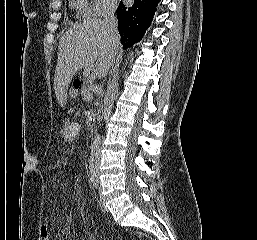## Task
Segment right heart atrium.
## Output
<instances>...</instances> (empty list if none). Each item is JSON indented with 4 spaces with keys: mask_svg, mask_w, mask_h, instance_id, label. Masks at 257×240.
Here are the masks:
<instances>
[{
    "mask_svg": "<svg viewBox=\"0 0 257 240\" xmlns=\"http://www.w3.org/2000/svg\"><path fill=\"white\" fill-rule=\"evenodd\" d=\"M116 6V0H92L88 15L92 17L106 16L111 14Z\"/></svg>",
    "mask_w": 257,
    "mask_h": 240,
    "instance_id": "right-heart-atrium-1",
    "label": "right heart atrium"
}]
</instances>
